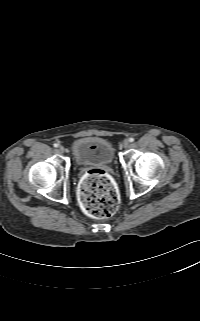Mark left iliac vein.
Masks as SVG:
<instances>
[{"instance_id":"4c4485c4","label":"left iliac vein","mask_w":200,"mask_h":321,"mask_svg":"<svg viewBox=\"0 0 200 321\" xmlns=\"http://www.w3.org/2000/svg\"><path fill=\"white\" fill-rule=\"evenodd\" d=\"M123 146H124V148H129V146H130V141H129V140H125V141L123 142Z\"/></svg>"}]
</instances>
